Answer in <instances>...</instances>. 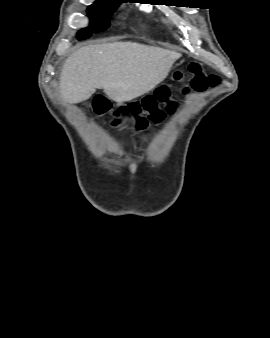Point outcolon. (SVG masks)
Instances as JSON below:
<instances>
[{"instance_id":"obj_1","label":"colon","mask_w":270,"mask_h":338,"mask_svg":"<svg viewBox=\"0 0 270 338\" xmlns=\"http://www.w3.org/2000/svg\"><path fill=\"white\" fill-rule=\"evenodd\" d=\"M189 69L195 74L192 85L198 91H202L208 86L214 87L219 82L218 77L215 75L205 76L201 74L197 63H191ZM175 79L181 80L182 74L177 73ZM159 105L163 108H160ZM92 107L96 114H102L109 110L110 104L104 95L97 94L92 101ZM124 108L134 115H139L142 111L149 113L148 119L145 117H140L138 119V127L143 128L147 125L148 120L153 123H159L164 118L166 112L173 111L174 104L170 99V90L166 86H160L156 89L154 94L147 95L141 102H131Z\"/></svg>"}]
</instances>
